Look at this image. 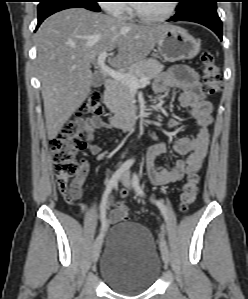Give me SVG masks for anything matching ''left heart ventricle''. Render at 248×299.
Masks as SVG:
<instances>
[{
    "mask_svg": "<svg viewBox=\"0 0 248 299\" xmlns=\"http://www.w3.org/2000/svg\"><path fill=\"white\" fill-rule=\"evenodd\" d=\"M138 9L145 15L158 16L166 12L168 1H150L137 3Z\"/></svg>",
    "mask_w": 248,
    "mask_h": 299,
    "instance_id": "obj_1",
    "label": "left heart ventricle"
}]
</instances>
